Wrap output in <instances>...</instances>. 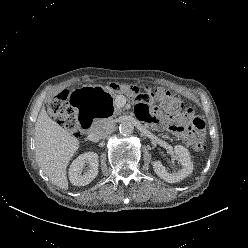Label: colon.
Wrapping results in <instances>:
<instances>
[{"label":"colon","instance_id":"1","mask_svg":"<svg viewBox=\"0 0 248 248\" xmlns=\"http://www.w3.org/2000/svg\"><path fill=\"white\" fill-rule=\"evenodd\" d=\"M117 92H126L139 102V104H150L157 100L159 104L171 113H191L190 109H185L183 102L175 95L156 89L154 91H141L139 88L127 84H114L112 87ZM70 94L67 91H62L54 96L49 102V114L58 121V123L68 130L74 137L81 135L83 128L81 120L85 113L75 111L69 102ZM190 128L196 131H203L205 122L200 116H192L190 119ZM194 149L201 151L205 149V144L202 139H198L194 143Z\"/></svg>","mask_w":248,"mask_h":248}]
</instances>
